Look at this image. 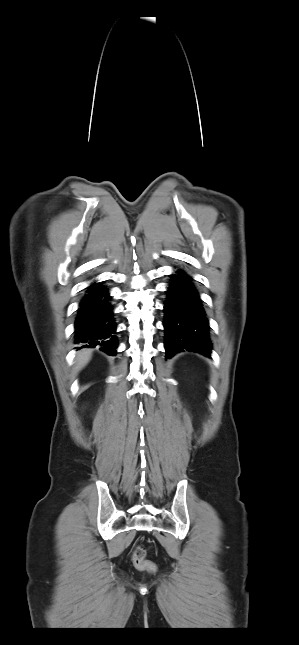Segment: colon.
<instances>
[{
	"label": "colon",
	"instance_id": "5ec220e1",
	"mask_svg": "<svg viewBox=\"0 0 299 645\" xmlns=\"http://www.w3.org/2000/svg\"><path fill=\"white\" fill-rule=\"evenodd\" d=\"M132 561L136 568L148 572H154L156 566L154 563L146 559V551L142 546L135 548L132 554Z\"/></svg>",
	"mask_w": 299,
	"mask_h": 645
}]
</instances>
